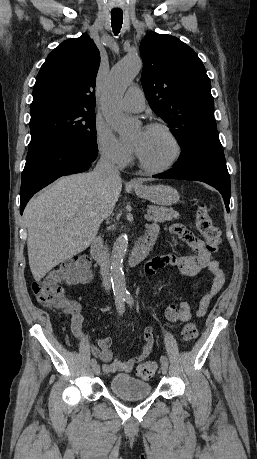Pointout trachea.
Wrapping results in <instances>:
<instances>
[{
    "instance_id": "obj_1",
    "label": "trachea",
    "mask_w": 257,
    "mask_h": 459,
    "mask_svg": "<svg viewBox=\"0 0 257 459\" xmlns=\"http://www.w3.org/2000/svg\"><path fill=\"white\" fill-rule=\"evenodd\" d=\"M123 22V12L122 11H111V24L112 29L115 35L120 32Z\"/></svg>"
}]
</instances>
